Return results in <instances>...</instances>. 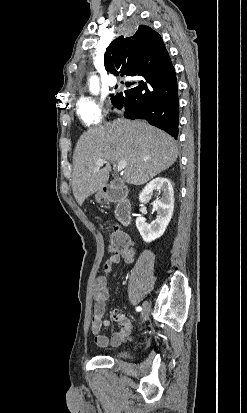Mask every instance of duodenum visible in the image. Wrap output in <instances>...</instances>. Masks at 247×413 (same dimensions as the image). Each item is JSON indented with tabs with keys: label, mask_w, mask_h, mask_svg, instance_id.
<instances>
[{
	"label": "duodenum",
	"mask_w": 247,
	"mask_h": 413,
	"mask_svg": "<svg viewBox=\"0 0 247 413\" xmlns=\"http://www.w3.org/2000/svg\"><path fill=\"white\" fill-rule=\"evenodd\" d=\"M105 199L109 202H115L116 217L122 225H129L131 223V204L128 199V194L123 188L107 185L104 187Z\"/></svg>",
	"instance_id": "obj_1"
}]
</instances>
